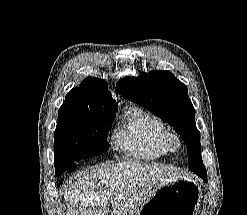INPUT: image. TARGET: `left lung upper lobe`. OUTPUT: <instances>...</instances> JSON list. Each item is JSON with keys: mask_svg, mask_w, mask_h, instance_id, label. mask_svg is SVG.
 I'll return each instance as SVG.
<instances>
[{"mask_svg": "<svg viewBox=\"0 0 247 215\" xmlns=\"http://www.w3.org/2000/svg\"><path fill=\"white\" fill-rule=\"evenodd\" d=\"M116 90L124 98L148 109L175 129L186 143L191 171L204 167L200 132L194 122L195 110L186 85L170 71L152 70L149 73L142 72L138 77L119 80Z\"/></svg>", "mask_w": 247, "mask_h": 215, "instance_id": "5c2ea615", "label": "left lung upper lobe"}]
</instances>
